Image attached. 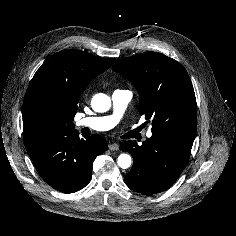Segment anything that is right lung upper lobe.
Segmentation results:
<instances>
[{"mask_svg":"<svg viewBox=\"0 0 236 236\" xmlns=\"http://www.w3.org/2000/svg\"><path fill=\"white\" fill-rule=\"evenodd\" d=\"M115 59H101L83 51L62 50L37 70L23 103V138L26 149L74 131V116L80 95L95 76ZM53 117L52 123L44 116Z\"/></svg>","mask_w":236,"mask_h":236,"instance_id":"right-lung-upper-lobe-1","label":"right lung upper lobe"}]
</instances>
